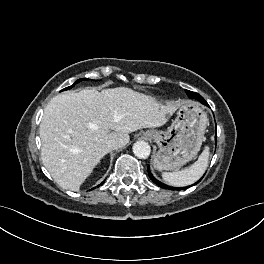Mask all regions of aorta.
<instances>
[{
    "mask_svg": "<svg viewBox=\"0 0 264 264\" xmlns=\"http://www.w3.org/2000/svg\"><path fill=\"white\" fill-rule=\"evenodd\" d=\"M151 152L150 145L145 141H137L133 145V153L140 159H146L149 157Z\"/></svg>",
    "mask_w": 264,
    "mask_h": 264,
    "instance_id": "1",
    "label": "aorta"
}]
</instances>
